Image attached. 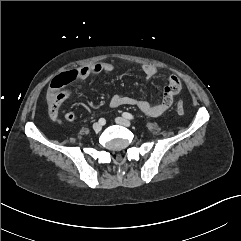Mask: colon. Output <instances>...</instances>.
Returning a JSON list of instances; mask_svg holds the SVG:
<instances>
[{
  "label": "colon",
  "instance_id": "obj_1",
  "mask_svg": "<svg viewBox=\"0 0 241 241\" xmlns=\"http://www.w3.org/2000/svg\"><path fill=\"white\" fill-rule=\"evenodd\" d=\"M75 80V75L72 72H63L59 77L53 80V84L50 87V91L55 92L58 89L66 87L69 83ZM178 114L182 115L185 112V106L183 102H179L176 106Z\"/></svg>",
  "mask_w": 241,
  "mask_h": 241
}]
</instances>
